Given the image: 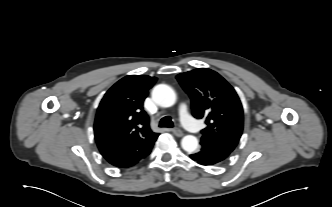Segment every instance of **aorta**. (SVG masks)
<instances>
[{"label":"aorta","mask_w":332,"mask_h":207,"mask_svg":"<svg viewBox=\"0 0 332 207\" xmlns=\"http://www.w3.org/2000/svg\"><path fill=\"white\" fill-rule=\"evenodd\" d=\"M152 98L161 107H171L176 102L174 90L166 84L155 86ZM181 146L186 152L192 153L198 148V139L193 135L184 136L181 140Z\"/></svg>","instance_id":"obj_1"}]
</instances>
